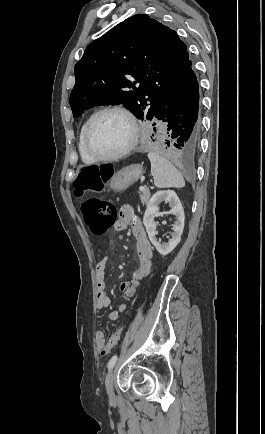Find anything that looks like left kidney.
Segmentation results:
<instances>
[{
  "instance_id": "1",
  "label": "left kidney",
  "mask_w": 265,
  "mask_h": 434,
  "mask_svg": "<svg viewBox=\"0 0 265 434\" xmlns=\"http://www.w3.org/2000/svg\"><path fill=\"white\" fill-rule=\"evenodd\" d=\"M160 202H166V204L168 202L169 206H171V210L168 214H174V216H176V222H174L172 228V240H169L168 244H161V242H158L156 238V226L153 220L155 214L159 212L158 206ZM184 220L185 216L182 204L173 190H160V192H156V194L152 196L151 200H149L147 210L144 214L143 224L146 228L150 242H152L153 246H155L157 252H159L161 256H167V254H170V252L178 246L184 230Z\"/></svg>"
}]
</instances>
